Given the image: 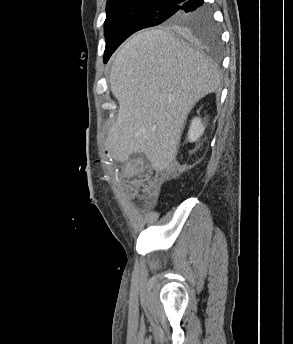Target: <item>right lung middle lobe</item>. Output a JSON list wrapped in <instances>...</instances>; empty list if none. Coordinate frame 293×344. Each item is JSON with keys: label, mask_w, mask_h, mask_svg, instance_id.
Masks as SVG:
<instances>
[{"label": "right lung middle lobe", "mask_w": 293, "mask_h": 344, "mask_svg": "<svg viewBox=\"0 0 293 344\" xmlns=\"http://www.w3.org/2000/svg\"><path fill=\"white\" fill-rule=\"evenodd\" d=\"M179 4L141 1L107 4L104 23L106 48L104 62L136 31L166 23L189 40L211 49L219 46V31L210 11L179 12Z\"/></svg>", "instance_id": "right-lung-middle-lobe-1"}]
</instances>
